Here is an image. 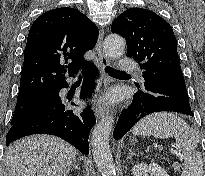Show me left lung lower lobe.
<instances>
[{
	"label": "left lung lower lobe",
	"instance_id": "left-lung-lower-lobe-1",
	"mask_svg": "<svg viewBox=\"0 0 205 176\" xmlns=\"http://www.w3.org/2000/svg\"><path fill=\"white\" fill-rule=\"evenodd\" d=\"M140 87L139 84H136ZM131 104L121 112L114 129L119 140L142 118L154 112H178L192 116L186 85L181 70L161 71L144 78Z\"/></svg>",
	"mask_w": 205,
	"mask_h": 176
}]
</instances>
